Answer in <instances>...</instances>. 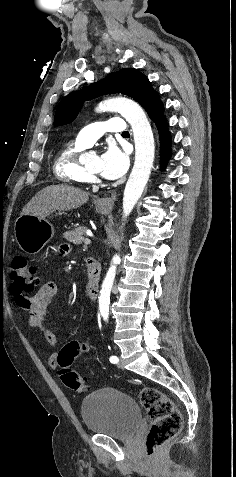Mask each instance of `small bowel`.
I'll use <instances>...</instances> for the list:
<instances>
[{
    "label": "small bowel",
    "mask_w": 236,
    "mask_h": 477,
    "mask_svg": "<svg viewBox=\"0 0 236 477\" xmlns=\"http://www.w3.org/2000/svg\"><path fill=\"white\" fill-rule=\"evenodd\" d=\"M56 293V282L47 281L32 297H23L19 304V306L28 313L29 325L40 329L45 340L53 345L57 343L56 334L44 325L43 318ZM87 297L89 300H93L95 297V291L91 287L87 288ZM48 364L51 367L57 366V355L55 353L49 356Z\"/></svg>",
    "instance_id": "obj_1"
}]
</instances>
